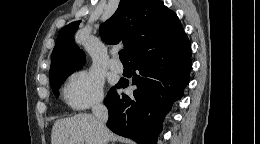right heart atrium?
Wrapping results in <instances>:
<instances>
[{
	"label": "right heart atrium",
	"instance_id": "1",
	"mask_svg": "<svg viewBox=\"0 0 260 144\" xmlns=\"http://www.w3.org/2000/svg\"><path fill=\"white\" fill-rule=\"evenodd\" d=\"M64 98L76 110L97 105L103 100V81L93 72L77 71L65 83Z\"/></svg>",
	"mask_w": 260,
	"mask_h": 144
}]
</instances>
